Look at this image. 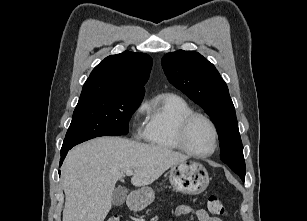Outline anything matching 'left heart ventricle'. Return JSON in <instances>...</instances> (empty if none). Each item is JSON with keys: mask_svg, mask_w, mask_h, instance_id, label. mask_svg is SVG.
Here are the masks:
<instances>
[{"mask_svg": "<svg viewBox=\"0 0 307 221\" xmlns=\"http://www.w3.org/2000/svg\"><path fill=\"white\" fill-rule=\"evenodd\" d=\"M187 144L196 153L204 154L212 150L214 135L209 124L203 119H196L189 127Z\"/></svg>", "mask_w": 307, "mask_h": 221, "instance_id": "b2bd125f", "label": "left heart ventricle"}]
</instances>
